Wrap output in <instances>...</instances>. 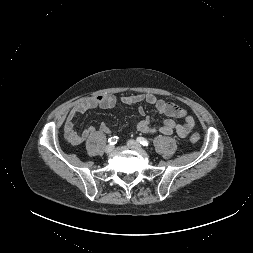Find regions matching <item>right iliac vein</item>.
Returning a JSON list of instances; mask_svg holds the SVG:
<instances>
[{"label":"right iliac vein","mask_w":253,"mask_h":253,"mask_svg":"<svg viewBox=\"0 0 253 253\" xmlns=\"http://www.w3.org/2000/svg\"><path fill=\"white\" fill-rule=\"evenodd\" d=\"M113 150H114V146L113 145H107L105 147V152L108 153V154L111 153Z\"/></svg>","instance_id":"obj_1"}]
</instances>
